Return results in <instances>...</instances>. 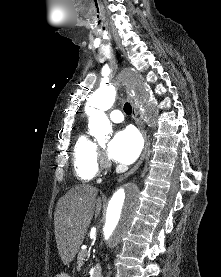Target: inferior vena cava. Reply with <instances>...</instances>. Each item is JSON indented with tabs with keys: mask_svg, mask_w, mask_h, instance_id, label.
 <instances>
[{
	"mask_svg": "<svg viewBox=\"0 0 221 277\" xmlns=\"http://www.w3.org/2000/svg\"><path fill=\"white\" fill-rule=\"evenodd\" d=\"M107 277H110V273L107 275Z\"/></svg>",
	"mask_w": 221,
	"mask_h": 277,
	"instance_id": "obj_1",
	"label": "inferior vena cava"
}]
</instances>
